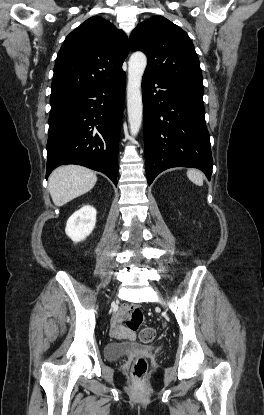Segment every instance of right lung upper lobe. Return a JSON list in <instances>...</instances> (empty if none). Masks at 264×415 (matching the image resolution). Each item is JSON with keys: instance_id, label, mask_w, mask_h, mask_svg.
Listing matches in <instances>:
<instances>
[{"instance_id": "right-lung-upper-lobe-1", "label": "right lung upper lobe", "mask_w": 264, "mask_h": 415, "mask_svg": "<svg viewBox=\"0 0 264 415\" xmlns=\"http://www.w3.org/2000/svg\"><path fill=\"white\" fill-rule=\"evenodd\" d=\"M129 52L123 31L100 16L84 21L64 40L56 58L50 98L79 92L125 73Z\"/></svg>"}]
</instances>
